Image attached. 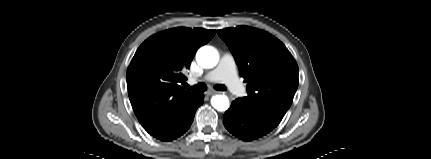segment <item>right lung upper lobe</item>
<instances>
[{"instance_id":"obj_1","label":"right lung upper lobe","mask_w":431,"mask_h":159,"mask_svg":"<svg viewBox=\"0 0 431 159\" xmlns=\"http://www.w3.org/2000/svg\"><path fill=\"white\" fill-rule=\"evenodd\" d=\"M215 30L177 27L157 33L137 49L126 80L132 108L144 129L154 132L194 94L180 84L198 48Z\"/></svg>"}]
</instances>
